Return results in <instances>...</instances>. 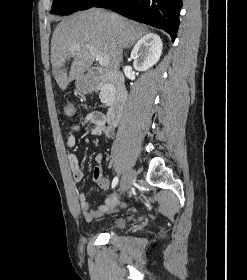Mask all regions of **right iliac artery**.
Listing matches in <instances>:
<instances>
[{
  "instance_id": "1",
  "label": "right iliac artery",
  "mask_w": 247,
  "mask_h": 280,
  "mask_svg": "<svg viewBox=\"0 0 247 280\" xmlns=\"http://www.w3.org/2000/svg\"><path fill=\"white\" fill-rule=\"evenodd\" d=\"M118 184V177H115L112 181V189H114Z\"/></svg>"
}]
</instances>
